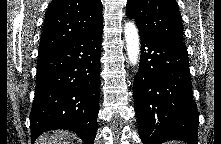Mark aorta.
<instances>
[{
	"label": "aorta",
	"instance_id": "aorta-1",
	"mask_svg": "<svg viewBox=\"0 0 221 144\" xmlns=\"http://www.w3.org/2000/svg\"><path fill=\"white\" fill-rule=\"evenodd\" d=\"M126 51L130 64L136 65L139 61L140 43L138 30L134 23L127 22L124 28Z\"/></svg>",
	"mask_w": 221,
	"mask_h": 144
}]
</instances>
